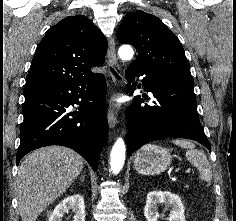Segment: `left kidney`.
<instances>
[{
    "label": "left kidney",
    "instance_id": "left-kidney-1",
    "mask_svg": "<svg viewBox=\"0 0 236 221\" xmlns=\"http://www.w3.org/2000/svg\"><path fill=\"white\" fill-rule=\"evenodd\" d=\"M159 204H164L165 206H170L171 211L169 214V221H186L184 215V205L181 198L167 191H151L147 194V200L144 207V216L147 221H158Z\"/></svg>",
    "mask_w": 236,
    "mask_h": 221
}]
</instances>
